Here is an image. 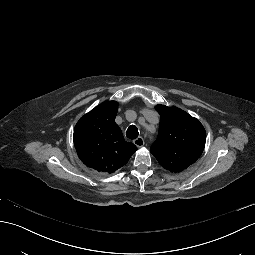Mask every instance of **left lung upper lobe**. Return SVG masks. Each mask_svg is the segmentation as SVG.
I'll return each mask as SVG.
<instances>
[{"mask_svg": "<svg viewBox=\"0 0 255 255\" xmlns=\"http://www.w3.org/2000/svg\"><path fill=\"white\" fill-rule=\"evenodd\" d=\"M160 114L159 134L150 152L160 165L171 172H181L202 154L206 132L202 124L179 108L156 106Z\"/></svg>", "mask_w": 255, "mask_h": 255, "instance_id": "1", "label": "left lung upper lobe"}]
</instances>
